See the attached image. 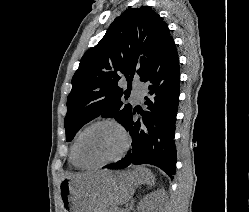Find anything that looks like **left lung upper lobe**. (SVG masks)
<instances>
[{"mask_svg": "<svg viewBox=\"0 0 249 212\" xmlns=\"http://www.w3.org/2000/svg\"><path fill=\"white\" fill-rule=\"evenodd\" d=\"M171 41L167 24L148 6L128 8L117 17L100 42L83 55L72 78L64 122L66 141L100 115L122 124L132 106L121 98H128L133 76L141 80ZM123 77L129 90L118 87Z\"/></svg>", "mask_w": 249, "mask_h": 212, "instance_id": "1", "label": "left lung upper lobe"}]
</instances>
